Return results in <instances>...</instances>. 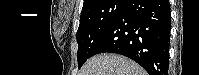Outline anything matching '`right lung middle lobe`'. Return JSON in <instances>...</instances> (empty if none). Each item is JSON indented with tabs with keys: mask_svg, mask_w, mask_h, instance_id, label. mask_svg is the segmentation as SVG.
Instances as JSON below:
<instances>
[{
	"mask_svg": "<svg viewBox=\"0 0 199 75\" xmlns=\"http://www.w3.org/2000/svg\"><path fill=\"white\" fill-rule=\"evenodd\" d=\"M127 0H105L102 3L82 9L77 31L78 66L93 56L96 45L117 19Z\"/></svg>",
	"mask_w": 199,
	"mask_h": 75,
	"instance_id": "obj_1",
	"label": "right lung middle lobe"
}]
</instances>
